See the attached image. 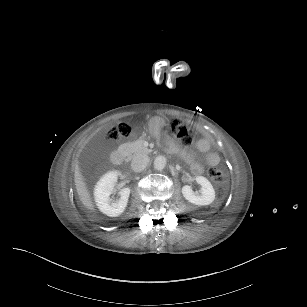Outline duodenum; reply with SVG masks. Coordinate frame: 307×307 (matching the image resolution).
Here are the masks:
<instances>
[{
    "mask_svg": "<svg viewBox=\"0 0 307 307\" xmlns=\"http://www.w3.org/2000/svg\"><path fill=\"white\" fill-rule=\"evenodd\" d=\"M126 157V153L124 150H116L112 154V162L115 165L123 164Z\"/></svg>",
    "mask_w": 307,
    "mask_h": 307,
    "instance_id": "410a0bca",
    "label": "duodenum"
}]
</instances>
